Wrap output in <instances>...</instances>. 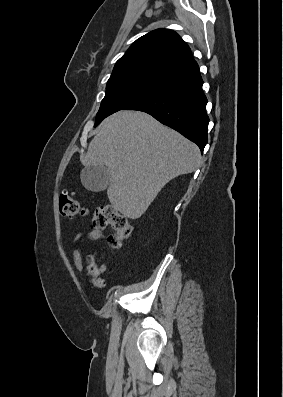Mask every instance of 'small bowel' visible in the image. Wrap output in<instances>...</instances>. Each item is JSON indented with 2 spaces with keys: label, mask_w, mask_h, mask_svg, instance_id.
I'll return each instance as SVG.
<instances>
[{
  "label": "small bowel",
  "mask_w": 283,
  "mask_h": 397,
  "mask_svg": "<svg viewBox=\"0 0 283 397\" xmlns=\"http://www.w3.org/2000/svg\"><path fill=\"white\" fill-rule=\"evenodd\" d=\"M104 239V234L99 229H92L89 231L79 230L72 239L73 245V262L76 269L80 272L82 270V255H81V246L86 241H102ZM105 271V267H101L99 269V273H103Z\"/></svg>",
  "instance_id": "c3829d8e"
}]
</instances>
